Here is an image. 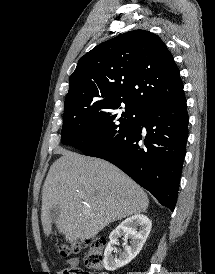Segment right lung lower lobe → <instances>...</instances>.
Listing matches in <instances>:
<instances>
[{
    "label": "right lung lower lobe",
    "instance_id": "obj_1",
    "mask_svg": "<svg viewBox=\"0 0 215 274\" xmlns=\"http://www.w3.org/2000/svg\"><path fill=\"white\" fill-rule=\"evenodd\" d=\"M188 138L186 98L153 103L122 134L86 152L105 159L174 210Z\"/></svg>",
    "mask_w": 215,
    "mask_h": 274
}]
</instances>
